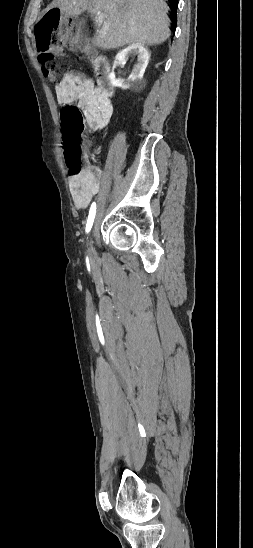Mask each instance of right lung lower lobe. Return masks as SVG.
<instances>
[{
    "instance_id": "1",
    "label": "right lung lower lobe",
    "mask_w": 253,
    "mask_h": 548,
    "mask_svg": "<svg viewBox=\"0 0 253 548\" xmlns=\"http://www.w3.org/2000/svg\"><path fill=\"white\" fill-rule=\"evenodd\" d=\"M169 2H170L171 7L173 9L172 20L175 24V26H174V29H175L176 28V22H177L176 10H177V6H178V0H169Z\"/></svg>"
}]
</instances>
